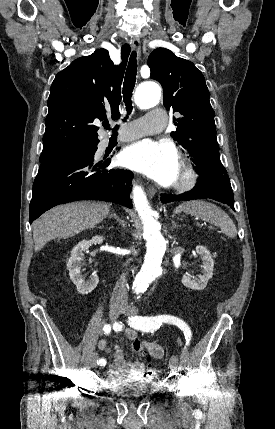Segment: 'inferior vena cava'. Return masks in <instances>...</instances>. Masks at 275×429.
Returning <instances> with one entry per match:
<instances>
[{
    "mask_svg": "<svg viewBox=\"0 0 275 429\" xmlns=\"http://www.w3.org/2000/svg\"><path fill=\"white\" fill-rule=\"evenodd\" d=\"M111 302L120 303L122 305L127 304V285L125 282V274H123L120 280L116 283L112 293Z\"/></svg>",
    "mask_w": 275,
    "mask_h": 429,
    "instance_id": "602c4592",
    "label": "inferior vena cava"
}]
</instances>
